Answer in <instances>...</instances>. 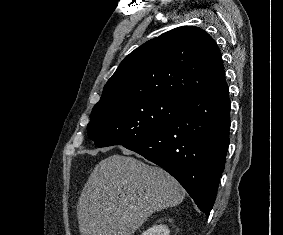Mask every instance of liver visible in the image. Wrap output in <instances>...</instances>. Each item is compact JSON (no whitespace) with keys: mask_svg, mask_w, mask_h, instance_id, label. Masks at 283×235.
I'll list each match as a JSON object with an SVG mask.
<instances>
[{"mask_svg":"<svg viewBox=\"0 0 283 235\" xmlns=\"http://www.w3.org/2000/svg\"><path fill=\"white\" fill-rule=\"evenodd\" d=\"M123 154L101 160L89 176L77 205L81 235H133L154 212L183 201L166 171Z\"/></svg>","mask_w":283,"mask_h":235,"instance_id":"6515ba94","label":"liver"}]
</instances>
